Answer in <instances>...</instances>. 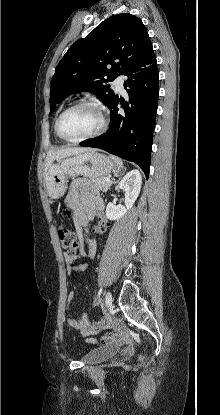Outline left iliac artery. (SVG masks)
Masks as SVG:
<instances>
[{
	"instance_id": "obj_1",
	"label": "left iliac artery",
	"mask_w": 220,
	"mask_h": 415,
	"mask_svg": "<svg viewBox=\"0 0 220 415\" xmlns=\"http://www.w3.org/2000/svg\"><path fill=\"white\" fill-rule=\"evenodd\" d=\"M101 294H102V288H100L98 291L97 297L95 298V301H94V305L97 304L98 300L100 299Z\"/></svg>"
}]
</instances>
